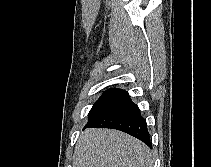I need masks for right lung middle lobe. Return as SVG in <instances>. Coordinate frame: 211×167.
<instances>
[{"label":"right lung middle lobe","instance_id":"right-lung-middle-lobe-1","mask_svg":"<svg viewBox=\"0 0 211 167\" xmlns=\"http://www.w3.org/2000/svg\"><path fill=\"white\" fill-rule=\"evenodd\" d=\"M126 91L116 88H111L104 92L98 101L93 105L89 112L88 122L96 119L102 114L113 102L120 98Z\"/></svg>","mask_w":211,"mask_h":167}]
</instances>
